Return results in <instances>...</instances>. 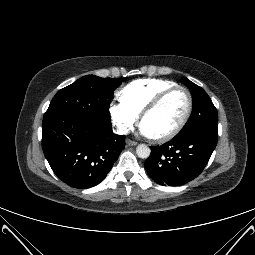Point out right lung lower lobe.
<instances>
[{
    "label": "right lung lower lobe",
    "instance_id": "obj_1",
    "mask_svg": "<svg viewBox=\"0 0 255 255\" xmlns=\"http://www.w3.org/2000/svg\"><path fill=\"white\" fill-rule=\"evenodd\" d=\"M42 148L56 176L71 187L91 188L109 173L125 136L77 115L44 118Z\"/></svg>",
    "mask_w": 255,
    "mask_h": 255
}]
</instances>
